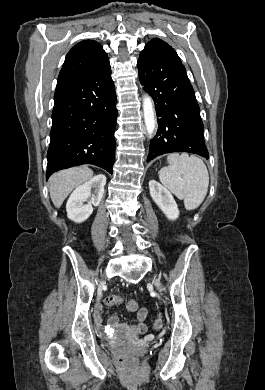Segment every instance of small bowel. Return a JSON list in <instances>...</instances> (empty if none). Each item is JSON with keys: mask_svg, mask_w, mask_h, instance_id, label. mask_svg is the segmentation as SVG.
<instances>
[{"mask_svg": "<svg viewBox=\"0 0 265 390\" xmlns=\"http://www.w3.org/2000/svg\"><path fill=\"white\" fill-rule=\"evenodd\" d=\"M95 317H96L97 324L99 326H101V323H102V307L99 304L96 307ZM147 317H148L147 309L141 308L138 311V313H137V319H138L139 323L137 325L131 327L130 331L133 332V333H137V334L145 333L146 330H147V326L145 324V321H146ZM110 323L113 326H118L119 325L118 318L116 316L110 317Z\"/></svg>", "mask_w": 265, "mask_h": 390, "instance_id": "small-bowel-1", "label": "small bowel"}]
</instances>
